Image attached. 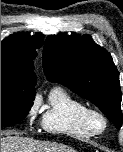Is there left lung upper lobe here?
I'll return each instance as SVG.
<instances>
[{
	"label": "left lung upper lobe",
	"mask_w": 123,
	"mask_h": 152,
	"mask_svg": "<svg viewBox=\"0 0 123 152\" xmlns=\"http://www.w3.org/2000/svg\"><path fill=\"white\" fill-rule=\"evenodd\" d=\"M42 63L51 82L61 83L91 101L120 128L123 116L119 72L110 53L89 35L48 36Z\"/></svg>",
	"instance_id": "left-lung-upper-lobe-1"
}]
</instances>
